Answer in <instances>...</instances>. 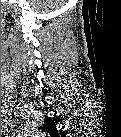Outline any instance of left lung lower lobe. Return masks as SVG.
I'll use <instances>...</instances> for the list:
<instances>
[{
	"label": "left lung lower lobe",
	"mask_w": 121,
	"mask_h": 137,
	"mask_svg": "<svg viewBox=\"0 0 121 137\" xmlns=\"http://www.w3.org/2000/svg\"><path fill=\"white\" fill-rule=\"evenodd\" d=\"M52 134H56V131H54Z\"/></svg>",
	"instance_id": "1"
}]
</instances>
